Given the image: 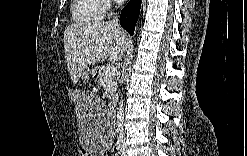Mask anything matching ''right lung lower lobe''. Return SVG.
Returning a JSON list of instances; mask_svg holds the SVG:
<instances>
[{"instance_id": "98d812e1", "label": "right lung lower lobe", "mask_w": 247, "mask_h": 156, "mask_svg": "<svg viewBox=\"0 0 247 156\" xmlns=\"http://www.w3.org/2000/svg\"><path fill=\"white\" fill-rule=\"evenodd\" d=\"M141 0H130L129 3L122 9L120 15V24L126 29L130 35H133L135 24L139 17Z\"/></svg>"}]
</instances>
